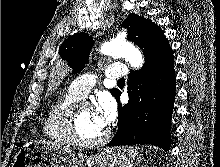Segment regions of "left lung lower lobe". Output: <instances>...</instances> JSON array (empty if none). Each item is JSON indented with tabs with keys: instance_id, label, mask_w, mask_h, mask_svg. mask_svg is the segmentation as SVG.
<instances>
[{
	"instance_id": "left-lung-lower-lobe-1",
	"label": "left lung lower lobe",
	"mask_w": 220,
	"mask_h": 167,
	"mask_svg": "<svg viewBox=\"0 0 220 167\" xmlns=\"http://www.w3.org/2000/svg\"><path fill=\"white\" fill-rule=\"evenodd\" d=\"M128 77L129 102L118 106L119 127L108 146L145 143L169 150L176 87L172 51L148 58ZM120 95L115 96L118 102Z\"/></svg>"
}]
</instances>
